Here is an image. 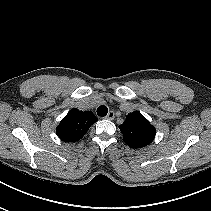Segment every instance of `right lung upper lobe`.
I'll list each match as a JSON object with an SVG mask.
<instances>
[{
    "instance_id": "1",
    "label": "right lung upper lobe",
    "mask_w": 211,
    "mask_h": 211,
    "mask_svg": "<svg viewBox=\"0 0 211 211\" xmlns=\"http://www.w3.org/2000/svg\"><path fill=\"white\" fill-rule=\"evenodd\" d=\"M98 119L91 111L71 109L56 128L58 137L65 142H75L81 139L90 126Z\"/></svg>"
}]
</instances>
